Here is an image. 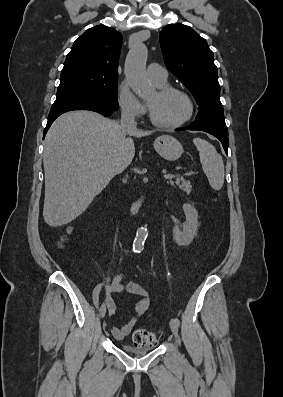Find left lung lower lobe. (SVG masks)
Segmentation results:
<instances>
[{"mask_svg":"<svg viewBox=\"0 0 283 397\" xmlns=\"http://www.w3.org/2000/svg\"><path fill=\"white\" fill-rule=\"evenodd\" d=\"M199 130V131H205L216 138H218L227 153L228 150V130L227 126L225 123H221L218 121L214 120H196L193 123H191L187 127H182L177 129V131H182V130Z\"/></svg>","mask_w":283,"mask_h":397,"instance_id":"left-lung-lower-lobe-1","label":"left lung lower lobe"}]
</instances>
